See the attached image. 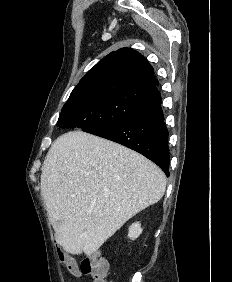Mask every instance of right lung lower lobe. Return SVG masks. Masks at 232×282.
I'll list each match as a JSON object with an SVG mask.
<instances>
[{"label":"right lung lower lobe","mask_w":232,"mask_h":282,"mask_svg":"<svg viewBox=\"0 0 232 282\" xmlns=\"http://www.w3.org/2000/svg\"><path fill=\"white\" fill-rule=\"evenodd\" d=\"M88 133L141 153L169 176L168 130L164 123L161 102L149 112L136 118L109 127H98Z\"/></svg>","instance_id":"98d812e1"}]
</instances>
